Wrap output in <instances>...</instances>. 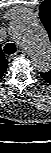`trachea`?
Listing matches in <instances>:
<instances>
[{
  "label": "trachea",
  "mask_w": 51,
  "mask_h": 153,
  "mask_svg": "<svg viewBox=\"0 0 51 153\" xmlns=\"http://www.w3.org/2000/svg\"><path fill=\"white\" fill-rule=\"evenodd\" d=\"M17 51V47L14 43H7L5 46H4V52L7 54V55H12L14 54L15 52Z\"/></svg>",
  "instance_id": "obj_1"
}]
</instances>
